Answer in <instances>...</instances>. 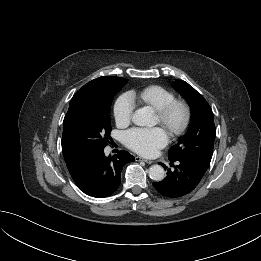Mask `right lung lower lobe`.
<instances>
[{"instance_id": "1", "label": "right lung lower lobe", "mask_w": 261, "mask_h": 261, "mask_svg": "<svg viewBox=\"0 0 261 261\" xmlns=\"http://www.w3.org/2000/svg\"><path fill=\"white\" fill-rule=\"evenodd\" d=\"M127 151L105 156L104 149L66 161L76 185L86 194L101 198L112 195L121 183V171L125 164L134 161Z\"/></svg>"}]
</instances>
